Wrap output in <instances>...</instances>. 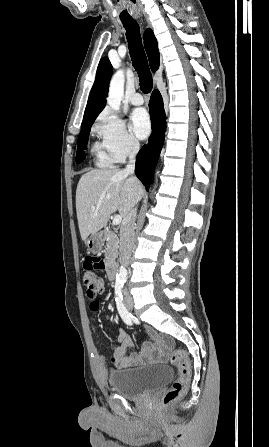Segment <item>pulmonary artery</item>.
Masks as SVG:
<instances>
[{
  "instance_id": "obj_1",
  "label": "pulmonary artery",
  "mask_w": 269,
  "mask_h": 447,
  "mask_svg": "<svg viewBox=\"0 0 269 447\" xmlns=\"http://www.w3.org/2000/svg\"><path fill=\"white\" fill-rule=\"evenodd\" d=\"M129 101L133 105H142L144 103V98L139 93H134L130 96Z\"/></svg>"
}]
</instances>
